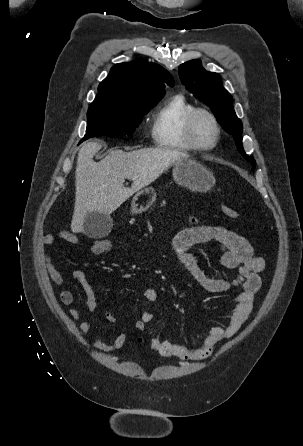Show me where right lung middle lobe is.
Returning <instances> with one entry per match:
<instances>
[{"label": "right lung middle lobe", "mask_w": 303, "mask_h": 446, "mask_svg": "<svg viewBox=\"0 0 303 446\" xmlns=\"http://www.w3.org/2000/svg\"><path fill=\"white\" fill-rule=\"evenodd\" d=\"M154 106L145 108H89L84 140L88 137L104 135L109 137L131 135L141 123L142 116Z\"/></svg>", "instance_id": "1"}]
</instances>
